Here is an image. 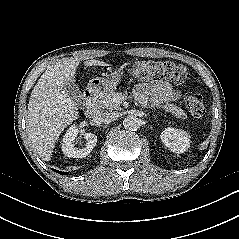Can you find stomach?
<instances>
[{
  "instance_id": "1",
  "label": "stomach",
  "mask_w": 239,
  "mask_h": 239,
  "mask_svg": "<svg viewBox=\"0 0 239 239\" xmlns=\"http://www.w3.org/2000/svg\"><path fill=\"white\" fill-rule=\"evenodd\" d=\"M122 73L120 71L113 72L110 77L107 78H93L89 81V89L98 94L106 93L116 89L117 85L121 81Z\"/></svg>"
}]
</instances>
